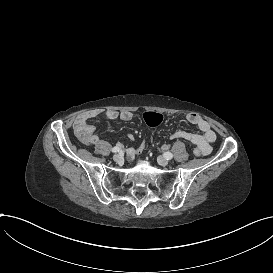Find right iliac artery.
I'll use <instances>...</instances> for the list:
<instances>
[{"label":"right iliac artery","mask_w":273,"mask_h":273,"mask_svg":"<svg viewBox=\"0 0 273 273\" xmlns=\"http://www.w3.org/2000/svg\"><path fill=\"white\" fill-rule=\"evenodd\" d=\"M121 151V148L119 146H115L114 148H112V152L116 153Z\"/></svg>","instance_id":"1"}]
</instances>
